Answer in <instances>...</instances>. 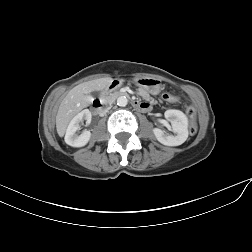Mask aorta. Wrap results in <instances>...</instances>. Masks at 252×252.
<instances>
[{
	"label": "aorta",
	"instance_id": "1",
	"mask_svg": "<svg viewBox=\"0 0 252 252\" xmlns=\"http://www.w3.org/2000/svg\"><path fill=\"white\" fill-rule=\"evenodd\" d=\"M127 104H128V99H127L126 96H120V97H118V99H117V105L118 106L124 107Z\"/></svg>",
	"mask_w": 252,
	"mask_h": 252
}]
</instances>
